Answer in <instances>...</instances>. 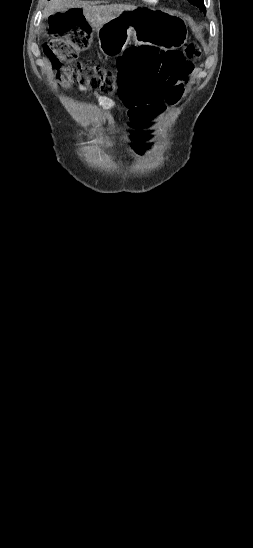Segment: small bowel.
Returning <instances> with one entry per match:
<instances>
[{"label":"small bowel","instance_id":"small-bowel-1","mask_svg":"<svg viewBox=\"0 0 253 548\" xmlns=\"http://www.w3.org/2000/svg\"><path fill=\"white\" fill-rule=\"evenodd\" d=\"M153 60H162V59L156 57V58H154ZM183 89H184V88H183ZM79 91H81V92H86L87 90H86L84 87H80V88H79ZM94 95H95L97 101L99 102V104H100V105L102 106V108L105 109L106 111H109V112H116V111L119 109L118 105H117V104L115 103V101H113L111 98L106 97V96L101 95V94H98V93H94ZM125 106H126L128 109H129V107H130V105H125ZM132 134H135V132H133ZM132 134H130V135L128 136V141L131 142V143L133 144V146L131 147V149L128 151V155H129L131 158L141 157V156L138 155L137 150L134 148V143H135L136 141H132V140H131V135H132ZM104 141H105V144H106L108 147H112V145H113V139H112L110 136L106 137ZM141 142H143V141H141Z\"/></svg>","mask_w":253,"mask_h":548}]
</instances>
